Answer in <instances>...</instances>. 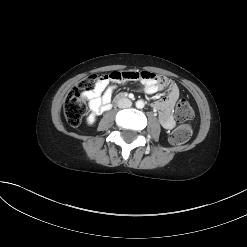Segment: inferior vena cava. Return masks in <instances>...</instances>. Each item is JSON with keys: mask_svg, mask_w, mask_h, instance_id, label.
Returning a JSON list of instances; mask_svg holds the SVG:
<instances>
[{"mask_svg": "<svg viewBox=\"0 0 247 247\" xmlns=\"http://www.w3.org/2000/svg\"><path fill=\"white\" fill-rule=\"evenodd\" d=\"M117 104L119 108H129L131 107L132 102L128 98H121Z\"/></svg>", "mask_w": 247, "mask_h": 247, "instance_id": "602c4592", "label": "inferior vena cava"}]
</instances>
